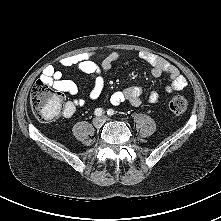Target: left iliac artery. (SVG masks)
I'll list each match as a JSON object with an SVG mask.
<instances>
[{
	"instance_id": "left-iliac-artery-1",
	"label": "left iliac artery",
	"mask_w": 221,
	"mask_h": 221,
	"mask_svg": "<svg viewBox=\"0 0 221 221\" xmlns=\"http://www.w3.org/2000/svg\"><path fill=\"white\" fill-rule=\"evenodd\" d=\"M107 114H108L109 116L114 115V110H113V109H109V110L107 111Z\"/></svg>"
}]
</instances>
